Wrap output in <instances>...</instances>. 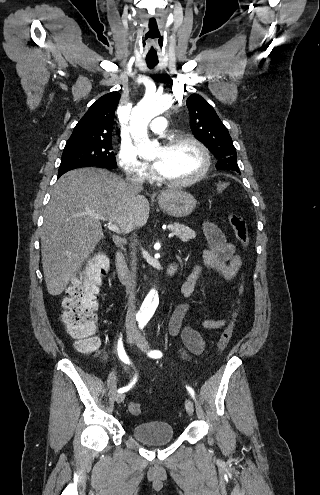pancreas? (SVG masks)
Segmentation results:
<instances>
[{
  "instance_id": "pancreas-1",
  "label": "pancreas",
  "mask_w": 320,
  "mask_h": 495,
  "mask_svg": "<svg viewBox=\"0 0 320 495\" xmlns=\"http://www.w3.org/2000/svg\"><path fill=\"white\" fill-rule=\"evenodd\" d=\"M169 231L174 233L177 237H179L183 242H187L192 238L196 237L195 231H193L191 228L180 224V223H174L168 225Z\"/></svg>"
}]
</instances>
